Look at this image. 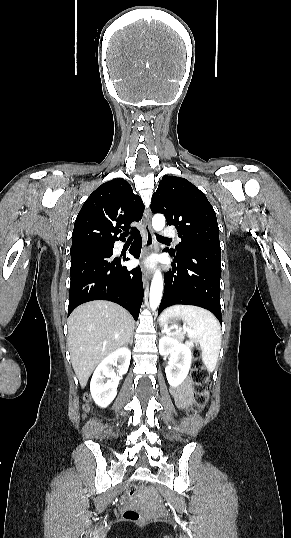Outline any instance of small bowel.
Here are the masks:
<instances>
[{
	"label": "small bowel",
	"mask_w": 291,
	"mask_h": 538,
	"mask_svg": "<svg viewBox=\"0 0 291 538\" xmlns=\"http://www.w3.org/2000/svg\"><path fill=\"white\" fill-rule=\"evenodd\" d=\"M177 396L183 402H187V401L190 400V397H191V384H190L189 381H185L183 383V385L178 388Z\"/></svg>",
	"instance_id": "small-bowel-1"
}]
</instances>
